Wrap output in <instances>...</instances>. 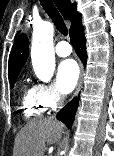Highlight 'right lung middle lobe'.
I'll return each mask as SVG.
<instances>
[{"mask_svg": "<svg viewBox=\"0 0 114 156\" xmlns=\"http://www.w3.org/2000/svg\"><path fill=\"white\" fill-rule=\"evenodd\" d=\"M17 77H18V75L13 76V77H9V81H10L11 86L16 82Z\"/></svg>", "mask_w": 114, "mask_h": 156, "instance_id": "obj_1", "label": "right lung middle lobe"}]
</instances>
